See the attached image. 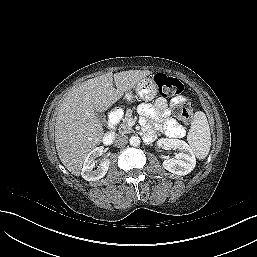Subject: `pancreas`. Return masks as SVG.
Here are the masks:
<instances>
[{"instance_id":"pancreas-1","label":"pancreas","mask_w":257,"mask_h":257,"mask_svg":"<svg viewBox=\"0 0 257 257\" xmlns=\"http://www.w3.org/2000/svg\"><path fill=\"white\" fill-rule=\"evenodd\" d=\"M131 116H132V111L129 109L127 110L125 118L123 119V122L121 123L118 129L120 134H129L133 132L132 127L128 125V120L131 118Z\"/></svg>"}]
</instances>
